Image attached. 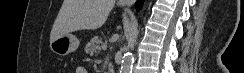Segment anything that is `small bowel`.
<instances>
[{"label": "small bowel", "instance_id": "small-bowel-1", "mask_svg": "<svg viewBox=\"0 0 244 73\" xmlns=\"http://www.w3.org/2000/svg\"><path fill=\"white\" fill-rule=\"evenodd\" d=\"M76 73H87V70L84 67L79 66L76 69Z\"/></svg>", "mask_w": 244, "mask_h": 73}]
</instances>
